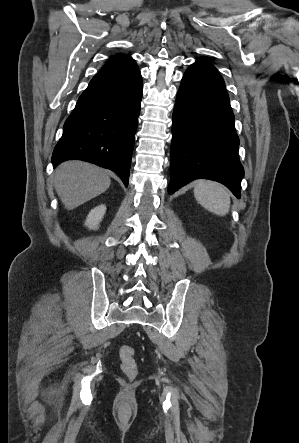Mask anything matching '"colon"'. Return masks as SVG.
I'll list each match as a JSON object with an SVG mask.
<instances>
[{"instance_id":"5ec220e1","label":"colon","mask_w":299,"mask_h":443,"mask_svg":"<svg viewBox=\"0 0 299 443\" xmlns=\"http://www.w3.org/2000/svg\"><path fill=\"white\" fill-rule=\"evenodd\" d=\"M119 356L123 373L129 378H135L138 368L134 358V349L129 346H123L119 350Z\"/></svg>"}]
</instances>
